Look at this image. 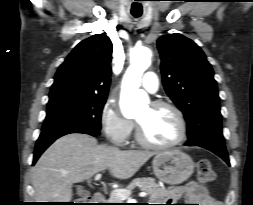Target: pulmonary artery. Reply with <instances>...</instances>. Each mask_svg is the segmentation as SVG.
<instances>
[{
    "instance_id": "pulmonary-artery-1",
    "label": "pulmonary artery",
    "mask_w": 253,
    "mask_h": 205,
    "mask_svg": "<svg viewBox=\"0 0 253 205\" xmlns=\"http://www.w3.org/2000/svg\"><path fill=\"white\" fill-rule=\"evenodd\" d=\"M142 87L150 93H155L159 88L157 75L154 72H147L142 79Z\"/></svg>"
}]
</instances>
